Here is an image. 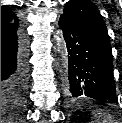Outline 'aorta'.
Listing matches in <instances>:
<instances>
[{"label": "aorta", "mask_w": 122, "mask_h": 123, "mask_svg": "<svg viewBox=\"0 0 122 123\" xmlns=\"http://www.w3.org/2000/svg\"><path fill=\"white\" fill-rule=\"evenodd\" d=\"M57 40H58V42H60V38L59 37H57Z\"/></svg>", "instance_id": "762f6f07"}]
</instances>
